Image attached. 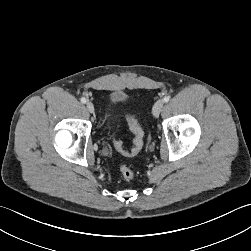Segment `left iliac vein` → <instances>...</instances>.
<instances>
[{
    "instance_id": "4c4485c4",
    "label": "left iliac vein",
    "mask_w": 251,
    "mask_h": 251,
    "mask_svg": "<svg viewBox=\"0 0 251 251\" xmlns=\"http://www.w3.org/2000/svg\"><path fill=\"white\" fill-rule=\"evenodd\" d=\"M163 107H164V101L158 100L153 106V109H152L153 115L155 117H157L160 114V112L162 111Z\"/></svg>"
}]
</instances>
